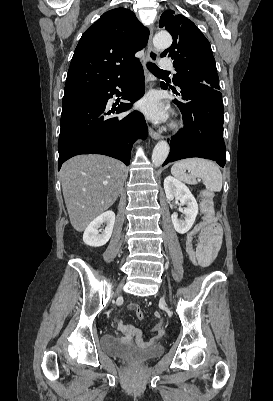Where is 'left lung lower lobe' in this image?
Wrapping results in <instances>:
<instances>
[{"label": "left lung lower lobe", "instance_id": "1", "mask_svg": "<svg viewBox=\"0 0 273 401\" xmlns=\"http://www.w3.org/2000/svg\"><path fill=\"white\" fill-rule=\"evenodd\" d=\"M162 88L167 89V85L162 84ZM170 88L187 102L174 100L181 110L184 128L171 138L170 154L163 166L183 158L201 157L214 160L224 167L226 158L221 92L203 83L180 85L181 94L174 87Z\"/></svg>", "mask_w": 273, "mask_h": 401}]
</instances>
